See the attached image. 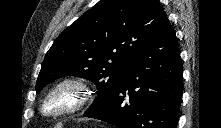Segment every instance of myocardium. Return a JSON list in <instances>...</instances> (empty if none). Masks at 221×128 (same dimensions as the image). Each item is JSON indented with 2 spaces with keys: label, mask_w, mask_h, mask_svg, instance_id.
I'll return each instance as SVG.
<instances>
[{
  "label": "myocardium",
  "mask_w": 221,
  "mask_h": 128,
  "mask_svg": "<svg viewBox=\"0 0 221 128\" xmlns=\"http://www.w3.org/2000/svg\"><path fill=\"white\" fill-rule=\"evenodd\" d=\"M88 83L78 77L59 80L49 90L41 104L45 117H59L78 111L91 97Z\"/></svg>",
  "instance_id": "myocardium-1"
}]
</instances>
